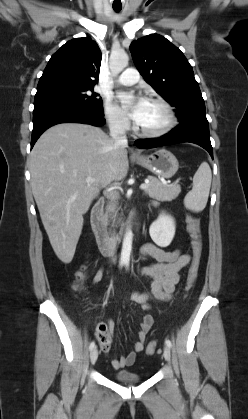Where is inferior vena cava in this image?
Returning a JSON list of instances; mask_svg holds the SVG:
<instances>
[{"mask_svg":"<svg viewBox=\"0 0 248 419\" xmlns=\"http://www.w3.org/2000/svg\"><path fill=\"white\" fill-rule=\"evenodd\" d=\"M109 129H110V136L113 139L115 146L126 147L128 144V141L125 134V129L121 121H119L116 118L110 119ZM115 247H116V240L113 234L109 241V249L111 250L112 253L115 250Z\"/></svg>","mask_w":248,"mask_h":419,"instance_id":"inferior-vena-cava-1","label":"inferior vena cava"}]
</instances>
